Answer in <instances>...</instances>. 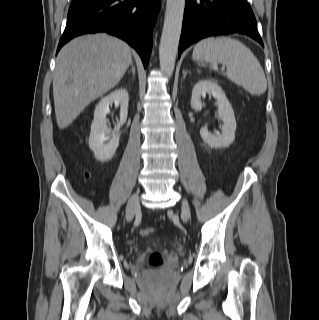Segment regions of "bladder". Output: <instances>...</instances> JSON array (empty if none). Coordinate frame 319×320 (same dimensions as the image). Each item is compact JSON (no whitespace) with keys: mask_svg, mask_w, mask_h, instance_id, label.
<instances>
[{"mask_svg":"<svg viewBox=\"0 0 319 320\" xmlns=\"http://www.w3.org/2000/svg\"><path fill=\"white\" fill-rule=\"evenodd\" d=\"M153 246H157V247H172L174 248L176 251H180V247L167 241V240H163V239H158L152 242Z\"/></svg>","mask_w":319,"mask_h":320,"instance_id":"1","label":"bladder"}]
</instances>
